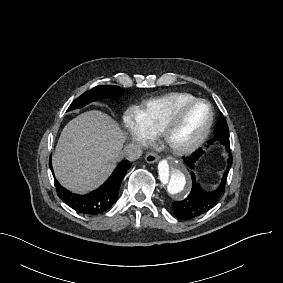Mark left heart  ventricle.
<instances>
[{"label":"left heart ventricle","instance_id":"obj_1","mask_svg":"<svg viewBox=\"0 0 283 283\" xmlns=\"http://www.w3.org/2000/svg\"><path fill=\"white\" fill-rule=\"evenodd\" d=\"M209 117L205 104L188 108L169 105L166 110V130L169 132L170 144L180 148L192 143L204 128Z\"/></svg>","mask_w":283,"mask_h":283}]
</instances>
